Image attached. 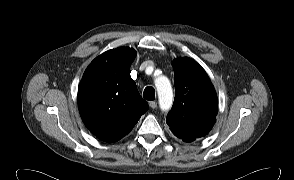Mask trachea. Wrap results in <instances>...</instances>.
<instances>
[{
	"instance_id": "trachea-1",
	"label": "trachea",
	"mask_w": 294,
	"mask_h": 180,
	"mask_svg": "<svg viewBox=\"0 0 294 180\" xmlns=\"http://www.w3.org/2000/svg\"><path fill=\"white\" fill-rule=\"evenodd\" d=\"M143 97L147 100H154L155 99V89L151 86L145 88Z\"/></svg>"
}]
</instances>
